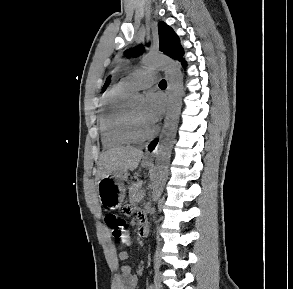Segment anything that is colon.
<instances>
[{"label": "colon", "mask_w": 293, "mask_h": 289, "mask_svg": "<svg viewBox=\"0 0 293 289\" xmlns=\"http://www.w3.org/2000/svg\"><path fill=\"white\" fill-rule=\"evenodd\" d=\"M123 212L125 215H130L134 213V210L131 207H125ZM105 222L113 237L123 242L127 235L125 220L114 213H108L105 216Z\"/></svg>", "instance_id": "obj_1"}]
</instances>
